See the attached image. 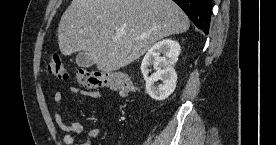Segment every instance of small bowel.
<instances>
[{"mask_svg":"<svg viewBox=\"0 0 276 145\" xmlns=\"http://www.w3.org/2000/svg\"><path fill=\"white\" fill-rule=\"evenodd\" d=\"M70 91L72 93H77L85 97L104 100V96L98 91H88L82 90L75 87H71ZM63 100V95L61 92L57 91L53 94L54 101V111L53 118L55 124L64 133L63 141L66 145H74L73 135L80 134L84 132L83 125L76 120H68L61 109V103ZM101 130L99 128H89L85 130V142L83 145H92L93 139L100 137Z\"/></svg>","mask_w":276,"mask_h":145,"instance_id":"1","label":"small bowel"}]
</instances>
